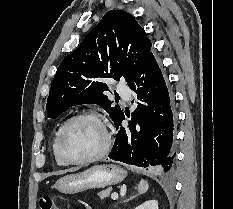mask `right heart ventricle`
<instances>
[{
  "label": "right heart ventricle",
  "instance_id": "e07e8e85",
  "mask_svg": "<svg viewBox=\"0 0 233 209\" xmlns=\"http://www.w3.org/2000/svg\"><path fill=\"white\" fill-rule=\"evenodd\" d=\"M62 127V124L57 128L55 134H54V137H53V140H52V153H53V156H54V160L56 162V164L58 166H65L66 164L60 160V158L58 157L57 155V150H56V145H57V138H58V134H59V131Z\"/></svg>",
  "mask_w": 233,
  "mask_h": 209
}]
</instances>
